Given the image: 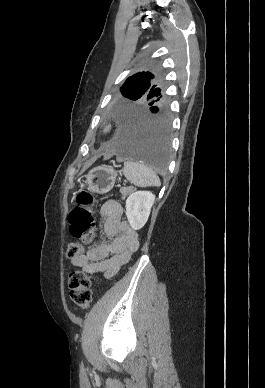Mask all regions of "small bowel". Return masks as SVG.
I'll return each mask as SVG.
<instances>
[{"mask_svg":"<svg viewBox=\"0 0 265 388\" xmlns=\"http://www.w3.org/2000/svg\"><path fill=\"white\" fill-rule=\"evenodd\" d=\"M100 214L104 219L103 232L107 241L71 259V264L87 274L103 273L106 279H110L131 259L139 240L137 232L122 219L119 202L106 201Z\"/></svg>","mask_w":265,"mask_h":388,"instance_id":"c3829d8e","label":"small bowel"}]
</instances>
